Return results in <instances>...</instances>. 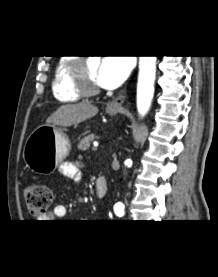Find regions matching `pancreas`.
I'll use <instances>...</instances> for the list:
<instances>
[{
    "instance_id": "pancreas-1",
    "label": "pancreas",
    "mask_w": 218,
    "mask_h": 277,
    "mask_svg": "<svg viewBox=\"0 0 218 277\" xmlns=\"http://www.w3.org/2000/svg\"><path fill=\"white\" fill-rule=\"evenodd\" d=\"M95 139L94 134H90L83 138L80 143L78 144V149L79 150H87L90 147V143Z\"/></svg>"
}]
</instances>
